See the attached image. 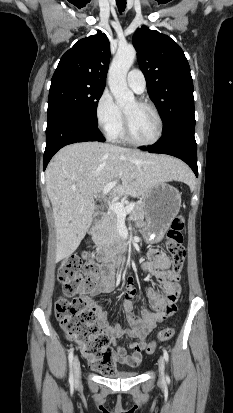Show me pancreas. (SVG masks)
I'll use <instances>...</instances> for the list:
<instances>
[{"label":"pancreas","instance_id":"cf45deb5","mask_svg":"<svg viewBox=\"0 0 233 413\" xmlns=\"http://www.w3.org/2000/svg\"><path fill=\"white\" fill-rule=\"evenodd\" d=\"M145 212L143 204H134L133 210L130 212L131 220L137 222L144 219ZM118 217L111 211L105 215L92 232V240L97 246H104L110 242H118L120 240L117 230Z\"/></svg>","mask_w":233,"mask_h":413}]
</instances>
